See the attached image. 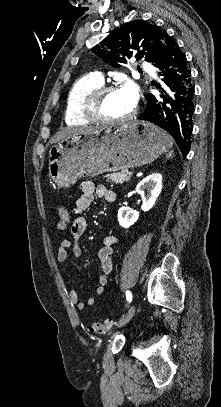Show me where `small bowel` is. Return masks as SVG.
<instances>
[{"mask_svg":"<svg viewBox=\"0 0 221 407\" xmlns=\"http://www.w3.org/2000/svg\"><path fill=\"white\" fill-rule=\"evenodd\" d=\"M81 196L76 201L74 209L75 219L70 228L72 239H63L57 250V261L60 264L65 263L69 258V253L73 257L78 258L81 255V248L76 243L86 231V220L83 213L88 209L95 199V196L104 198L108 202L115 201V194L108 190L103 185H95L92 182H84L81 184ZM116 239L113 236H108L105 239L103 247L99 250L98 258L100 262V273L98 274V284L95 289L97 295L104 293V288L108 283L109 274L112 269L111 255L113 252V246ZM69 299L71 305L76 309L83 311L86 308V304L79 298L78 292L75 289L70 290ZM95 303V298L90 297L87 300V305L92 306Z\"/></svg>","mask_w":221,"mask_h":407,"instance_id":"c3829d8e","label":"small bowel"}]
</instances>
